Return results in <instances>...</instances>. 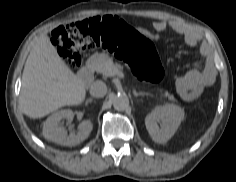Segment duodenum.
<instances>
[{"label": "duodenum", "mask_w": 236, "mask_h": 182, "mask_svg": "<svg viewBox=\"0 0 236 182\" xmlns=\"http://www.w3.org/2000/svg\"><path fill=\"white\" fill-rule=\"evenodd\" d=\"M81 81L86 86H88L92 83V81H93V72L89 68V66H86L85 68H83L81 70Z\"/></svg>", "instance_id": "1"}]
</instances>
